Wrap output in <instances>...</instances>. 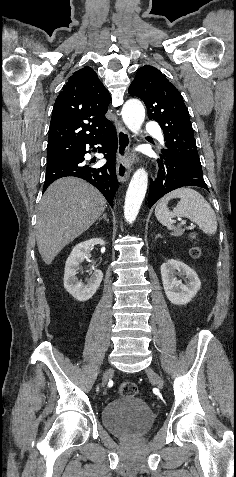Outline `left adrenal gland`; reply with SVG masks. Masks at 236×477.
I'll return each instance as SVG.
<instances>
[{
	"mask_svg": "<svg viewBox=\"0 0 236 477\" xmlns=\"http://www.w3.org/2000/svg\"><path fill=\"white\" fill-rule=\"evenodd\" d=\"M159 237H161V235H160V234H157L155 238L157 239V238H159Z\"/></svg>",
	"mask_w": 236,
	"mask_h": 477,
	"instance_id": "a2214340",
	"label": "left adrenal gland"
}]
</instances>
